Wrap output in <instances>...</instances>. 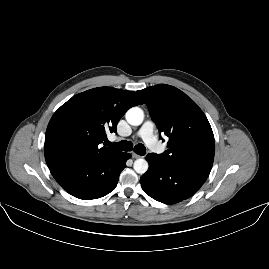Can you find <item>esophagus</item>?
<instances>
[{
	"mask_svg": "<svg viewBox=\"0 0 269 269\" xmlns=\"http://www.w3.org/2000/svg\"><path fill=\"white\" fill-rule=\"evenodd\" d=\"M132 157L135 158V159H138V158H140L141 156L138 155V154H136V153H132Z\"/></svg>",
	"mask_w": 269,
	"mask_h": 269,
	"instance_id": "34e87169",
	"label": "esophagus"
}]
</instances>
